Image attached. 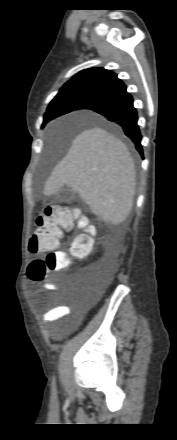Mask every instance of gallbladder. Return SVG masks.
<instances>
[{"mask_svg":"<svg viewBox=\"0 0 177 440\" xmlns=\"http://www.w3.org/2000/svg\"><path fill=\"white\" fill-rule=\"evenodd\" d=\"M77 198L76 192L63 187L53 197V202H71Z\"/></svg>","mask_w":177,"mask_h":440,"instance_id":"bac80fb5","label":"gallbladder"}]
</instances>
